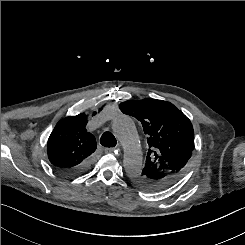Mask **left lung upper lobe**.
<instances>
[{"mask_svg":"<svg viewBox=\"0 0 245 245\" xmlns=\"http://www.w3.org/2000/svg\"><path fill=\"white\" fill-rule=\"evenodd\" d=\"M119 108L139 120L148 136L145 166L133 177L135 184L154 191L159 177H179L194 149V130L190 120L172 103L163 100H128Z\"/></svg>","mask_w":245,"mask_h":245,"instance_id":"1","label":"left lung upper lobe"}]
</instances>
